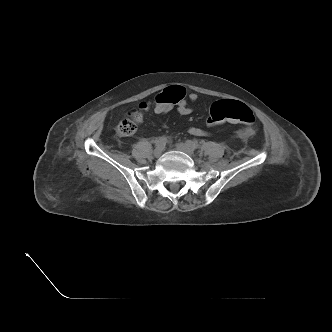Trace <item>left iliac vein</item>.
<instances>
[{"mask_svg":"<svg viewBox=\"0 0 332 332\" xmlns=\"http://www.w3.org/2000/svg\"><path fill=\"white\" fill-rule=\"evenodd\" d=\"M177 149L188 154V155H192L194 152V149L188 145L187 143H178L176 145Z\"/></svg>","mask_w":332,"mask_h":332,"instance_id":"4c4485c4","label":"left iliac vein"}]
</instances>
